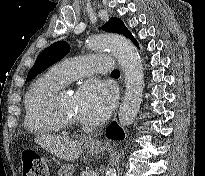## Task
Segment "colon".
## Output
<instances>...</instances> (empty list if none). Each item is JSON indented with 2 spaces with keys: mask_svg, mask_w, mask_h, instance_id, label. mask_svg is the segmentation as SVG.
Here are the masks:
<instances>
[{
  "mask_svg": "<svg viewBox=\"0 0 205 176\" xmlns=\"http://www.w3.org/2000/svg\"><path fill=\"white\" fill-rule=\"evenodd\" d=\"M48 166L40 156L27 155L22 163V176H47Z\"/></svg>",
  "mask_w": 205,
  "mask_h": 176,
  "instance_id": "colon-1",
  "label": "colon"
}]
</instances>
